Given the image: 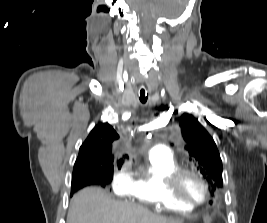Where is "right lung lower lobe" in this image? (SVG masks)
I'll list each match as a JSON object with an SVG mask.
<instances>
[{
	"instance_id": "right-lung-lower-lobe-1",
	"label": "right lung lower lobe",
	"mask_w": 267,
	"mask_h": 223,
	"mask_svg": "<svg viewBox=\"0 0 267 223\" xmlns=\"http://www.w3.org/2000/svg\"><path fill=\"white\" fill-rule=\"evenodd\" d=\"M111 180L112 178H107L101 174H81L73 176L71 194L88 185H101L105 187Z\"/></svg>"
}]
</instances>
